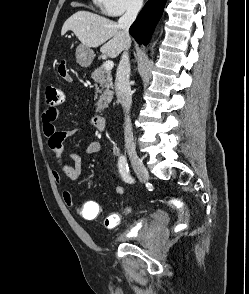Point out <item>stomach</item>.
<instances>
[{
  "mask_svg": "<svg viewBox=\"0 0 249 294\" xmlns=\"http://www.w3.org/2000/svg\"><path fill=\"white\" fill-rule=\"evenodd\" d=\"M76 61L81 67H88L93 61L94 52L91 48L79 45L76 49Z\"/></svg>",
  "mask_w": 249,
  "mask_h": 294,
  "instance_id": "0dacf381",
  "label": "stomach"
}]
</instances>
